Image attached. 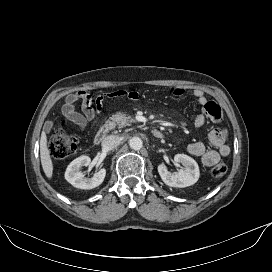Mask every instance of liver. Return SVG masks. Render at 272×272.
<instances>
[{"label": "liver", "mask_w": 272, "mask_h": 272, "mask_svg": "<svg viewBox=\"0 0 272 272\" xmlns=\"http://www.w3.org/2000/svg\"><path fill=\"white\" fill-rule=\"evenodd\" d=\"M40 158L45 175L51 179L53 175V163L50 157V151L47 147V136L45 132H42L40 138Z\"/></svg>", "instance_id": "1"}]
</instances>
